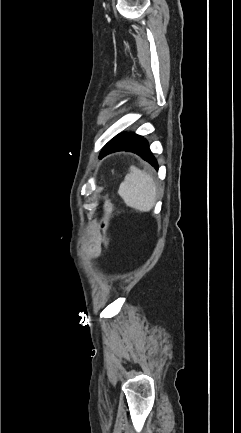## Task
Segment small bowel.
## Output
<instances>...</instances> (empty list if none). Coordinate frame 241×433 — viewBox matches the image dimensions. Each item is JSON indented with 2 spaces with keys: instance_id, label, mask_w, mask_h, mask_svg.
<instances>
[{
  "instance_id": "1",
  "label": "small bowel",
  "mask_w": 241,
  "mask_h": 433,
  "mask_svg": "<svg viewBox=\"0 0 241 433\" xmlns=\"http://www.w3.org/2000/svg\"><path fill=\"white\" fill-rule=\"evenodd\" d=\"M88 251L95 257H98L101 253V238L98 233V227H93L91 240L88 245Z\"/></svg>"
}]
</instances>
